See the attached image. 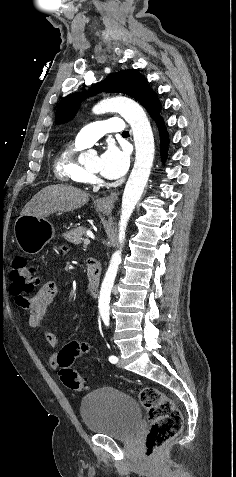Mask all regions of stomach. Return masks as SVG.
Instances as JSON below:
<instances>
[{"label":"stomach","instance_id":"obj_1","mask_svg":"<svg viewBox=\"0 0 236 477\" xmlns=\"http://www.w3.org/2000/svg\"><path fill=\"white\" fill-rule=\"evenodd\" d=\"M97 208L104 214L110 212L109 208L99 203H97ZM14 235L23 252L36 255L54 238L55 229L46 217L23 215L15 222Z\"/></svg>","mask_w":236,"mask_h":477}]
</instances>
